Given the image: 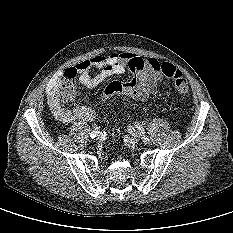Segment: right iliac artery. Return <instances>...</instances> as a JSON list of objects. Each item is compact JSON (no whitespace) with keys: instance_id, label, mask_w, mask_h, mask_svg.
Masks as SVG:
<instances>
[{"instance_id":"right-iliac-artery-1","label":"right iliac artery","mask_w":233,"mask_h":233,"mask_svg":"<svg viewBox=\"0 0 233 233\" xmlns=\"http://www.w3.org/2000/svg\"><path fill=\"white\" fill-rule=\"evenodd\" d=\"M100 127H96L91 133H90V138H95L96 137V135L99 133V131H98V129H99Z\"/></svg>"}]
</instances>
